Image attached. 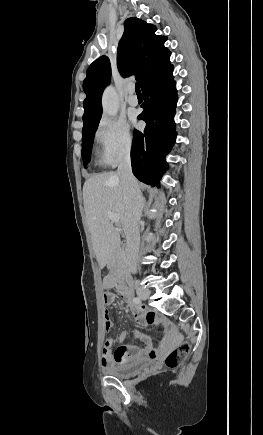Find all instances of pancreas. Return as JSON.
Listing matches in <instances>:
<instances>
[{
  "mask_svg": "<svg viewBox=\"0 0 263 435\" xmlns=\"http://www.w3.org/2000/svg\"><path fill=\"white\" fill-rule=\"evenodd\" d=\"M109 266L117 272L124 269V251L122 248H117L109 258Z\"/></svg>",
  "mask_w": 263,
  "mask_h": 435,
  "instance_id": "1",
  "label": "pancreas"
}]
</instances>
